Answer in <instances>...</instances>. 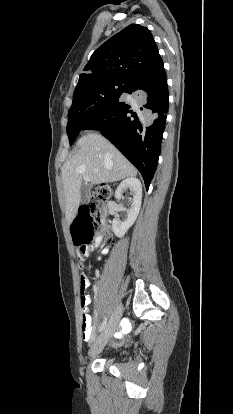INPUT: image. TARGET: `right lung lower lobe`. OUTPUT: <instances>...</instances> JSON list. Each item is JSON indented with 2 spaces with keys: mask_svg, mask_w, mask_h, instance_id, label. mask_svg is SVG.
Wrapping results in <instances>:
<instances>
[{
  "mask_svg": "<svg viewBox=\"0 0 233 414\" xmlns=\"http://www.w3.org/2000/svg\"><path fill=\"white\" fill-rule=\"evenodd\" d=\"M125 92L137 95V104L119 99L87 121L82 130L100 131L140 171L148 188L157 167L168 112L165 70L129 82Z\"/></svg>",
  "mask_w": 233,
  "mask_h": 414,
  "instance_id": "right-lung-lower-lobe-1",
  "label": "right lung lower lobe"
}]
</instances>
